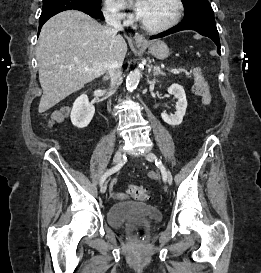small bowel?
I'll return each mask as SVG.
<instances>
[{"label": "small bowel", "instance_id": "obj_1", "mask_svg": "<svg viewBox=\"0 0 261 273\" xmlns=\"http://www.w3.org/2000/svg\"><path fill=\"white\" fill-rule=\"evenodd\" d=\"M67 113H68V109L67 108H62L61 110L56 111L52 115L50 123L54 124V123H60V122H62ZM111 195L113 197H115V193L114 192H112Z\"/></svg>", "mask_w": 261, "mask_h": 273}]
</instances>
